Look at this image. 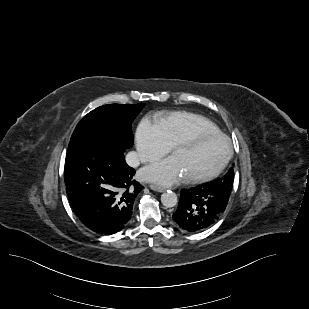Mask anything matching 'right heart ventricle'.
<instances>
[{
    "label": "right heart ventricle",
    "mask_w": 309,
    "mask_h": 309,
    "mask_svg": "<svg viewBox=\"0 0 309 309\" xmlns=\"http://www.w3.org/2000/svg\"><path fill=\"white\" fill-rule=\"evenodd\" d=\"M156 123L171 146L194 131L221 132L219 127L208 118L188 111H175L158 116Z\"/></svg>",
    "instance_id": "e07e8e85"
}]
</instances>
